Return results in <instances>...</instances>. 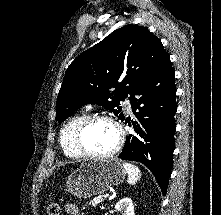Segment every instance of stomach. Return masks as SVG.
Wrapping results in <instances>:
<instances>
[{
    "label": "stomach",
    "mask_w": 221,
    "mask_h": 215,
    "mask_svg": "<svg viewBox=\"0 0 221 215\" xmlns=\"http://www.w3.org/2000/svg\"><path fill=\"white\" fill-rule=\"evenodd\" d=\"M126 171L116 159H93L83 162L66 182L68 192L78 198H88L106 192L123 182Z\"/></svg>",
    "instance_id": "stomach-1"
}]
</instances>
